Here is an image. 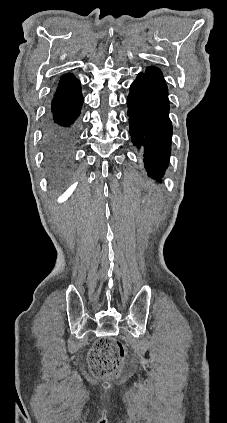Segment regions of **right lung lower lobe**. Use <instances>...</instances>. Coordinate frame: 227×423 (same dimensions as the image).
Instances as JSON below:
<instances>
[{"label":"right lung lower lobe","mask_w":227,"mask_h":423,"mask_svg":"<svg viewBox=\"0 0 227 423\" xmlns=\"http://www.w3.org/2000/svg\"><path fill=\"white\" fill-rule=\"evenodd\" d=\"M59 87V86H58ZM83 103L81 90L71 92L57 88L52 101V119L47 126L44 167L55 183L66 179L77 144V132L73 123Z\"/></svg>","instance_id":"1"}]
</instances>
